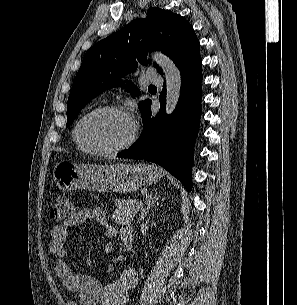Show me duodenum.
<instances>
[{
	"label": "duodenum",
	"mask_w": 297,
	"mask_h": 305,
	"mask_svg": "<svg viewBox=\"0 0 297 305\" xmlns=\"http://www.w3.org/2000/svg\"><path fill=\"white\" fill-rule=\"evenodd\" d=\"M122 240L127 249L131 250L133 248V232L131 230H125L123 232Z\"/></svg>",
	"instance_id": "410a0bca"
}]
</instances>
